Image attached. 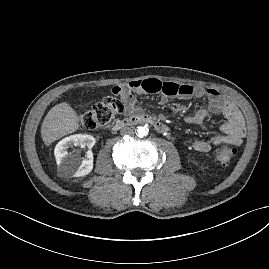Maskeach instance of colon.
I'll return each instance as SVG.
<instances>
[{
	"mask_svg": "<svg viewBox=\"0 0 269 269\" xmlns=\"http://www.w3.org/2000/svg\"><path fill=\"white\" fill-rule=\"evenodd\" d=\"M123 98L124 94L120 90L113 89L112 95L106 96L79 117V125L87 130L108 125L124 109ZM237 152L236 147L222 144L215 149L214 158L219 164L228 165Z\"/></svg>",
	"mask_w": 269,
	"mask_h": 269,
	"instance_id": "colon-1",
	"label": "colon"
}]
</instances>
